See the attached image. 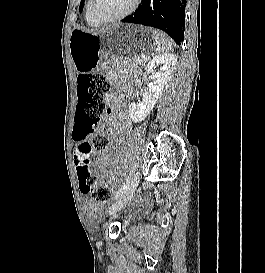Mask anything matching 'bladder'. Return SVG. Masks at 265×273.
<instances>
[{
  "instance_id": "bladder-1",
  "label": "bladder",
  "mask_w": 265,
  "mask_h": 273,
  "mask_svg": "<svg viewBox=\"0 0 265 273\" xmlns=\"http://www.w3.org/2000/svg\"><path fill=\"white\" fill-rule=\"evenodd\" d=\"M119 222H120V224H121L122 227L125 226V222L122 219H119Z\"/></svg>"
}]
</instances>
